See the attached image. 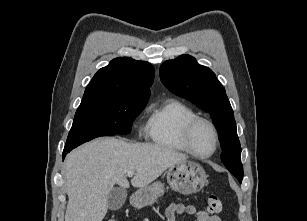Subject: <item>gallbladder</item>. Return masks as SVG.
<instances>
[{
	"label": "gallbladder",
	"mask_w": 307,
	"mask_h": 221,
	"mask_svg": "<svg viewBox=\"0 0 307 221\" xmlns=\"http://www.w3.org/2000/svg\"><path fill=\"white\" fill-rule=\"evenodd\" d=\"M127 190L122 187L113 188L108 195V207L111 210L120 209L125 203Z\"/></svg>",
	"instance_id": "bac80fb5"
}]
</instances>
